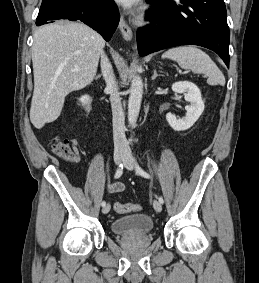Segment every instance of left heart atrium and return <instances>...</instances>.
<instances>
[{
    "instance_id": "left-heart-atrium-1",
    "label": "left heart atrium",
    "mask_w": 259,
    "mask_h": 283,
    "mask_svg": "<svg viewBox=\"0 0 259 283\" xmlns=\"http://www.w3.org/2000/svg\"><path fill=\"white\" fill-rule=\"evenodd\" d=\"M119 4L125 7H132L136 4L137 0H116Z\"/></svg>"
}]
</instances>
